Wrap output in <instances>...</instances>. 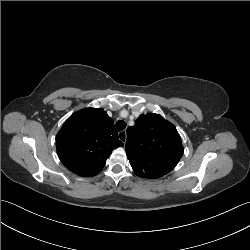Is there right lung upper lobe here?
<instances>
[{
    "label": "right lung upper lobe",
    "instance_id": "right-lung-upper-lobe-1",
    "mask_svg": "<svg viewBox=\"0 0 250 250\" xmlns=\"http://www.w3.org/2000/svg\"><path fill=\"white\" fill-rule=\"evenodd\" d=\"M121 146L114 122L102 108L75 112L56 137L61 162L73 173L86 177L98 174L112 150Z\"/></svg>",
    "mask_w": 250,
    "mask_h": 250
}]
</instances>
